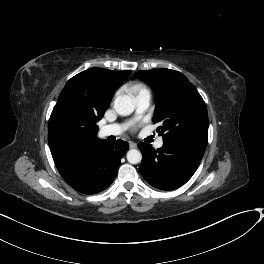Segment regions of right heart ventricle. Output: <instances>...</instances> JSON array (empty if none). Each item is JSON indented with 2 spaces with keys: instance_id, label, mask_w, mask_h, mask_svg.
Wrapping results in <instances>:
<instances>
[{
  "instance_id": "e07e8e85",
  "label": "right heart ventricle",
  "mask_w": 264,
  "mask_h": 264,
  "mask_svg": "<svg viewBox=\"0 0 264 264\" xmlns=\"http://www.w3.org/2000/svg\"><path fill=\"white\" fill-rule=\"evenodd\" d=\"M133 89L135 90V92H136L137 94H139V93H141V92H144V91L149 92L148 89L145 88V87H144L143 85H141V84H136V85H134V86H133Z\"/></svg>"
}]
</instances>
